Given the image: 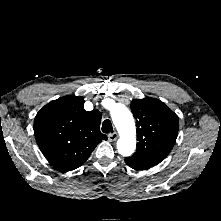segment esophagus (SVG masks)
Returning a JSON list of instances; mask_svg holds the SVG:
<instances>
[{
  "mask_svg": "<svg viewBox=\"0 0 221 221\" xmlns=\"http://www.w3.org/2000/svg\"><path fill=\"white\" fill-rule=\"evenodd\" d=\"M117 138H118V133L117 132H114V133H111V134L108 135V140L110 142L116 141Z\"/></svg>",
  "mask_w": 221,
  "mask_h": 221,
  "instance_id": "esophagus-1",
  "label": "esophagus"
}]
</instances>
